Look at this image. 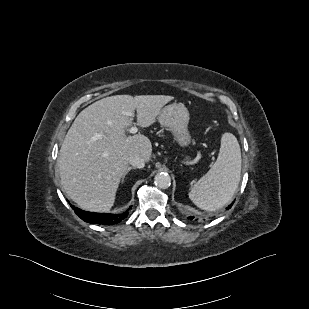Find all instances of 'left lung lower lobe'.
<instances>
[{"label":"left lung lower lobe","mask_w":309,"mask_h":309,"mask_svg":"<svg viewBox=\"0 0 309 309\" xmlns=\"http://www.w3.org/2000/svg\"><path fill=\"white\" fill-rule=\"evenodd\" d=\"M233 204V203H232ZM232 204L231 205H229L228 207H227V209H230L231 208V206H232ZM191 220L194 218V217H189Z\"/></svg>","instance_id":"left-lung-lower-lobe-1"}]
</instances>
